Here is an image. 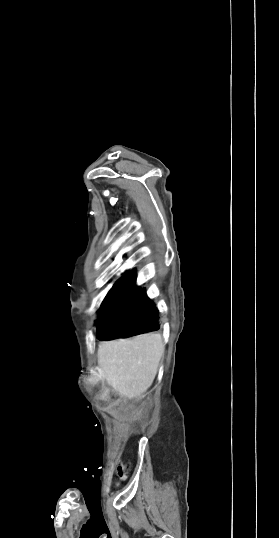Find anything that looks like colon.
Wrapping results in <instances>:
<instances>
[{"label":"colon","instance_id":"1","mask_svg":"<svg viewBox=\"0 0 279 538\" xmlns=\"http://www.w3.org/2000/svg\"><path fill=\"white\" fill-rule=\"evenodd\" d=\"M118 474H119L120 477H123L125 475V467L124 466H119Z\"/></svg>","mask_w":279,"mask_h":538}]
</instances>
